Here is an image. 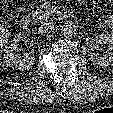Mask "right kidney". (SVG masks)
Segmentation results:
<instances>
[{
	"mask_svg": "<svg viewBox=\"0 0 113 113\" xmlns=\"http://www.w3.org/2000/svg\"><path fill=\"white\" fill-rule=\"evenodd\" d=\"M20 41H26V36L23 34H17L13 38L10 46L8 47V50L4 55V63L12 69L23 71L31 68L36 58L34 55L29 53L23 55L18 53L17 46Z\"/></svg>",
	"mask_w": 113,
	"mask_h": 113,
	"instance_id": "obj_1",
	"label": "right kidney"
}]
</instances>
